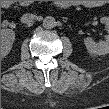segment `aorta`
<instances>
[{
  "label": "aorta",
  "mask_w": 109,
  "mask_h": 109,
  "mask_svg": "<svg viewBox=\"0 0 109 109\" xmlns=\"http://www.w3.org/2000/svg\"><path fill=\"white\" fill-rule=\"evenodd\" d=\"M56 26V20L52 16H47L43 20V27L45 29H52Z\"/></svg>",
  "instance_id": "1"
}]
</instances>
